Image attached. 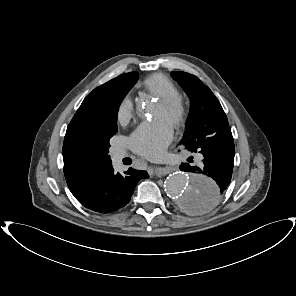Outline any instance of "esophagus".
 I'll return each mask as SVG.
<instances>
[{
  "label": "esophagus",
  "instance_id": "esophagus-1",
  "mask_svg": "<svg viewBox=\"0 0 296 296\" xmlns=\"http://www.w3.org/2000/svg\"><path fill=\"white\" fill-rule=\"evenodd\" d=\"M172 168H168V167H156L153 171V173L157 176H164L170 172H172Z\"/></svg>",
  "mask_w": 296,
  "mask_h": 296
}]
</instances>
